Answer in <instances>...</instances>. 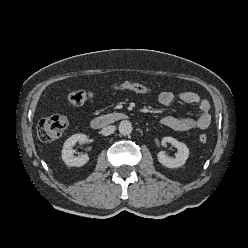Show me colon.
<instances>
[{"mask_svg":"<svg viewBox=\"0 0 248 248\" xmlns=\"http://www.w3.org/2000/svg\"><path fill=\"white\" fill-rule=\"evenodd\" d=\"M112 91H132L136 93H147L149 88L140 82H124L114 85ZM108 92V91H106ZM98 97V93L85 90L72 91L68 99L74 105H81L85 102L94 100ZM68 125L67 117L63 114H54L42 118L37 127L38 137L43 142H49L57 139L66 129ZM201 143H206L207 135L199 136Z\"/></svg>","mask_w":248,"mask_h":248,"instance_id":"1","label":"colon"}]
</instances>
